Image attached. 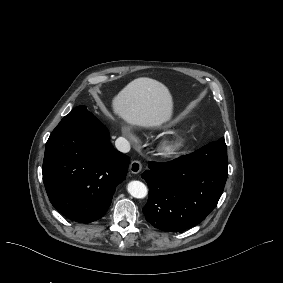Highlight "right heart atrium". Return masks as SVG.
<instances>
[{
	"label": "right heart atrium",
	"mask_w": 283,
	"mask_h": 283,
	"mask_svg": "<svg viewBox=\"0 0 283 283\" xmlns=\"http://www.w3.org/2000/svg\"><path fill=\"white\" fill-rule=\"evenodd\" d=\"M118 127H119V130L121 132V134L130 139L131 141H137L138 140V137H139V134H138V131L131 128L130 126H128L126 123L120 121L118 123Z\"/></svg>",
	"instance_id": "1"
}]
</instances>
